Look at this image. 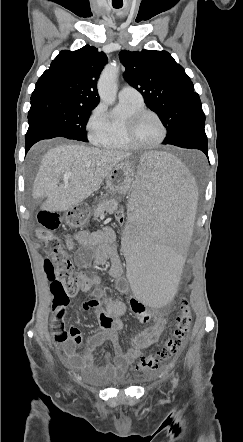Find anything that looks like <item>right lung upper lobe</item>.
<instances>
[{
  "label": "right lung upper lobe",
  "instance_id": "cb5924a9",
  "mask_svg": "<svg viewBox=\"0 0 243 442\" xmlns=\"http://www.w3.org/2000/svg\"><path fill=\"white\" fill-rule=\"evenodd\" d=\"M106 62L105 53L93 46L63 50L39 78L31 97L57 95L95 107L100 100L96 84Z\"/></svg>",
  "mask_w": 243,
  "mask_h": 442
}]
</instances>
